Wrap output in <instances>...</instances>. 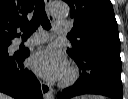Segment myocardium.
Segmentation results:
<instances>
[{"label": "myocardium", "mask_w": 128, "mask_h": 99, "mask_svg": "<svg viewBox=\"0 0 128 99\" xmlns=\"http://www.w3.org/2000/svg\"><path fill=\"white\" fill-rule=\"evenodd\" d=\"M78 77V70L75 67H69L60 81V86L69 87L77 81Z\"/></svg>", "instance_id": "myocardium-1"}]
</instances>
